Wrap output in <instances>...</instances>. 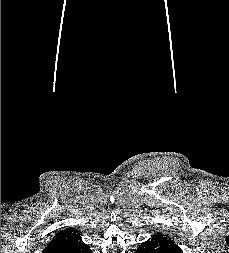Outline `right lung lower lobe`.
Instances as JSON below:
<instances>
[{
  "mask_svg": "<svg viewBox=\"0 0 229 253\" xmlns=\"http://www.w3.org/2000/svg\"><path fill=\"white\" fill-rule=\"evenodd\" d=\"M48 253H92V252L89 249V247L80 239L75 243H72L65 247L58 248Z\"/></svg>",
  "mask_w": 229,
  "mask_h": 253,
  "instance_id": "right-lung-lower-lobe-1",
  "label": "right lung lower lobe"
}]
</instances>
